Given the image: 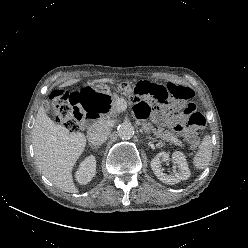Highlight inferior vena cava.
Listing matches in <instances>:
<instances>
[{
	"instance_id": "inferior-vena-cava-1",
	"label": "inferior vena cava",
	"mask_w": 248,
	"mask_h": 248,
	"mask_svg": "<svg viewBox=\"0 0 248 248\" xmlns=\"http://www.w3.org/2000/svg\"><path fill=\"white\" fill-rule=\"evenodd\" d=\"M111 131V124L107 120H101L97 123L93 124L88 132H87V138L90 144L92 145H101L103 144Z\"/></svg>"
}]
</instances>
